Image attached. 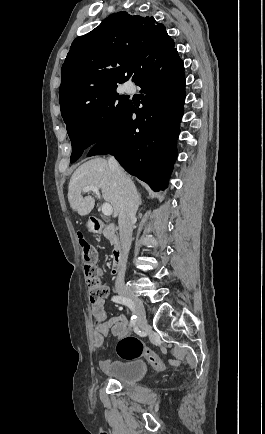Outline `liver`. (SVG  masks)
Instances as JSON below:
<instances>
[{
  "instance_id": "6515ba94",
  "label": "liver",
  "mask_w": 265,
  "mask_h": 434,
  "mask_svg": "<svg viewBox=\"0 0 265 434\" xmlns=\"http://www.w3.org/2000/svg\"><path fill=\"white\" fill-rule=\"evenodd\" d=\"M85 186H97L102 192V198L113 206V218L120 212L119 186L115 180L114 172L109 168L107 160L94 158L79 166L71 176L68 186L69 204L80 216H87L95 204L92 196L83 198L81 192Z\"/></svg>"
}]
</instances>
